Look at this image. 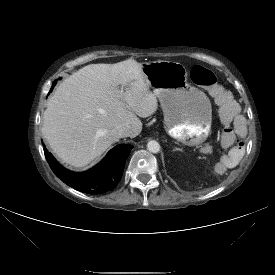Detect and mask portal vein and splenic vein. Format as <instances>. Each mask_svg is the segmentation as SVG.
<instances>
[{
    "label": "portal vein and splenic vein",
    "instance_id": "18ae733b",
    "mask_svg": "<svg viewBox=\"0 0 275 275\" xmlns=\"http://www.w3.org/2000/svg\"><path fill=\"white\" fill-rule=\"evenodd\" d=\"M202 152H204V153H209V152H211V146H208V147L203 148V149H202Z\"/></svg>",
    "mask_w": 275,
    "mask_h": 275
}]
</instances>
